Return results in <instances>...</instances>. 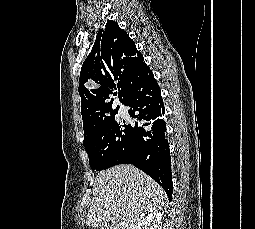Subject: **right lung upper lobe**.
I'll list each match as a JSON object with an SVG mask.
<instances>
[{"label":"right lung upper lobe","instance_id":"1","mask_svg":"<svg viewBox=\"0 0 255 229\" xmlns=\"http://www.w3.org/2000/svg\"><path fill=\"white\" fill-rule=\"evenodd\" d=\"M147 67L142 54L129 35L108 20L96 37L91 53L84 61L80 72L79 95L83 119L84 141L113 114L111 94L119 90L120 101L124 104L135 76ZM95 82L87 89L85 83Z\"/></svg>","mask_w":255,"mask_h":229}]
</instances>
